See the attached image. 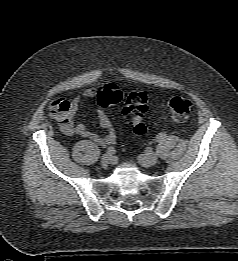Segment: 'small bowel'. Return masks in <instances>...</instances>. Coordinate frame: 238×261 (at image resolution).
<instances>
[{
    "mask_svg": "<svg viewBox=\"0 0 238 261\" xmlns=\"http://www.w3.org/2000/svg\"><path fill=\"white\" fill-rule=\"evenodd\" d=\"M98 92L99 90L97 89H88L73 99L66 100V109L54 115L56 120L60 123L61 130L66 135L75 134L89 139L98 145L110 146L115 143L116 134L108 115L102 108L97 110V117L101 127L106 131L105 135H99L92 132L86 125L74 121L75 115L77 114L83 100L97 97Z\"/></svg>",
    "mask_w": 238,
    "mask_h": 261,
    "instance_id": "obj_1",
    "label": "small bowel"
}]
</instances>
